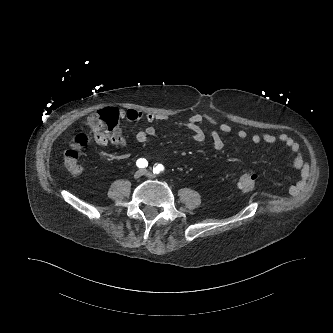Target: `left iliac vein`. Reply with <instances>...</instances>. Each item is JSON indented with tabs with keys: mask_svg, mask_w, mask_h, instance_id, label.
<instances>
[{
	"mask_svg": "<svg viewBox=\"0 0 333 333\" xmlns=\"http://www.w3.org/2000/svg\"><path fill=\"white\" fill-rule=\"evenodd\" d=\"M143 174L145 176H147L148 178H151V179H155L156 178V175H154L152 172L148 171V170H142Z\"/></svg>",
	"mask_w": 333,
	"mask_h": 333,
	"instance_id": "4c4485c4",
	"label": "left iliac vein"
}]
</instances>
